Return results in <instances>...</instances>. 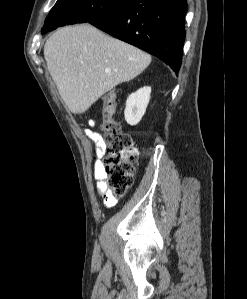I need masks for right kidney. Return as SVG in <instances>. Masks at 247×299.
<instances>
[{
  "label": "right kidney",
  "mask_w": 247,
  "mask_h": 299,
  "mask_svg": "<svg viewBox=\"0 0 247 299\" xmlns=\"http://www.w3.org/2000/svg\"><path fill=\"white\" fill-rule=\"evenodd\" d=\"M150 94L151 87H143L127 98L124 115L129 125L135 126L140 122L146 112Z\"/></svg>",
  "instance_id": "1"
}]
</instances>
